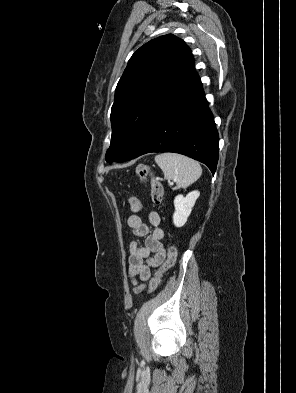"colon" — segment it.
<instances>
[{"mask_svg":"<svg viewBox=\"0 0 296 393\" xmlns=\"http://www.w3.org/2000/svg\"><path fill=\"white\" fill-rule=\"evenodd\" d=\"M137 175L141 180L150 178L151 180V199L156 205H159L163 199V186L157 177L154 176L152 168L147 164H140L137 167ZM129 204L133 211H141L143 209L142 202L136 197L129 198ZM176 248L175 246H169L165 259L163 260L160 268L155 273L149 284V293H153L158 286L161 284L163 275L168 271L174 264L176 259Z\"/></svg>","mask_w":296,"mask_h":393,"instance_id":"1","label":"colon"}]
</instances>
